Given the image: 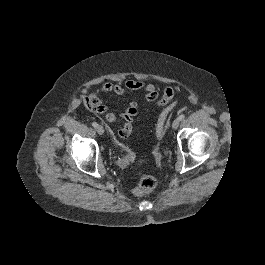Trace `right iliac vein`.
Segmentation results:
<instances>
[{
    "mask_svg": "<svg viewBox=\"0 0 265 265\" xmlns=\"http://www.w3.org/2000/svg\"><path fill=\"white\" fill-rule=\"evenodd\" d=\"M96 129L99 135L104 134V128L101 125H98Z\"/></svg>",
    "mask_w": 265,
    "mask_h": 265,
    "instance_id": "obj_1",
    "label": "right iliac vein"
}]
</instances>
